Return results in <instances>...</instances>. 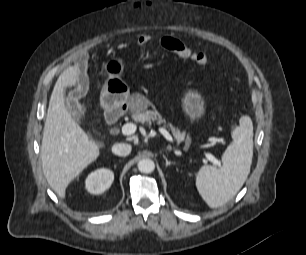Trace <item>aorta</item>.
I'll return each mask as SVG.
<instances>
[{
  "mask_svg": "<svg viewBox=\"0 0 306 255\" xmlns=\"http://www.w3.org/2000/svg\"><path fill=\"white\" fill-rule=\"evenodd\" d=\"M154 169H155L154 161L149 158L141 159L138 162V170L141 173H151L154 171Z\"/></svg>",
  "mask_w": 306,
  "mask_h": 255,
  "instance_id": "obj_1",
  "label": "aorta"
}]
</instances>
